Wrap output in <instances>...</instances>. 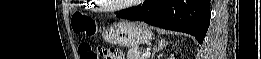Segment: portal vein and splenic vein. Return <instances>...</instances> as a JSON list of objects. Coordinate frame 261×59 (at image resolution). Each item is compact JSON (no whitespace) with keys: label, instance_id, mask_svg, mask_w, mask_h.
<instances>
[{"label":"portal vein and splenic vein","instance_id":"portal-vein-and-splenic-vein-1","mask_svg":"<svg viewBox=\"0 0 261 59\" xmlns=\"http://www.w3.org/2000/svg\"><path fill=\"white\" fill-rule=\"evenodd\" d=\"M143 57H148V56H150V52H145V53H143V55H142Z\"/></svg>","mask_w":261,"mask_h":59}]
</instances>
